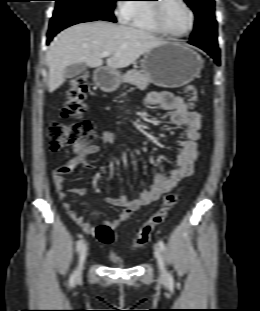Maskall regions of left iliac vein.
I'll list each match as a JSON object with an SVG mask.
<instances>
[{
  "mask_svg": "<svg viewBox=\"0 0 260 311\" xmlns=\"http://www.w3.org/2000/svg\"><path fill=\"white\" fill-rule=\"evenodd\" d=\"M155 258L157 260L159 270H160L162 277H166V269H165L164 258H163V255H162V253L158 247L155 249Z\"/></svg>",
  "mask_w": 260,
  "mask_h": 311,
  "instance_id": "obj_1",
  "label": "left iliac vein"
}]
</instances>
